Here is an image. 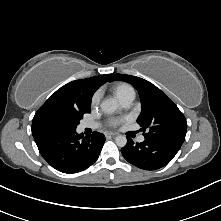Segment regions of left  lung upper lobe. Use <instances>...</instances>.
<instances>
[{
    "mask_svg": "<svg viewBox=\"0 0 221 221\" xmlns=\"http://www.w3.org/2000/svg\"><path fill=\"white\" fill-rule=\"evenodd\" d=\"M112 80H123L133 85L140 95L142 111L137 119L145 138L169 139L184 142L187 122L178 107L151 82L126 74H115Z\"/></svg>",
    "mask_w": 221,
    "mask_h": 221,
    "instance_id": "obj_1",
    "label": "left lung upper lobe"
}]
</instances>
